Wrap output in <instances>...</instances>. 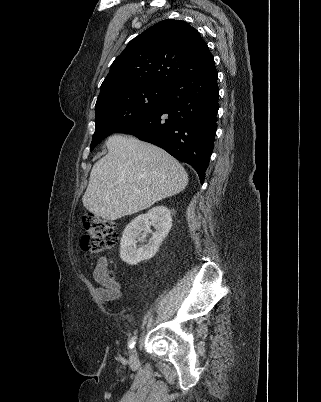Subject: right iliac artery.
Masks as SVG:
<instances>
[{
    "mask_svg": "<svg viewBox=\"0 0 321 402\" xmlns=\"http://www.w3.org/2000/svg\"><path fill=\"white\" fill-rule=\"evenodd\" d=\"M136 339H137V337H136V336H133V337L128 341V348H129L130 350L133 349V347H134V345H135V343H136Z\"/></svg>",
    "mask_w": 321,
    "mask_h": 402,
    "instance_id": "obj_1",
    "label": "right iliac artery"
}]
</instances>
